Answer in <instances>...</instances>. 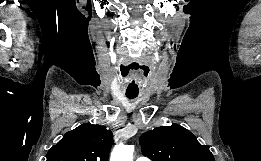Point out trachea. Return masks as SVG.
<instances>
[{"label": "trachea", "instance_id": "obj_1", "mask_svg": "<svg viewBox=\"0 0 261 161\" xmlns=\"http://www.w3.org/2000/svg\"><path fill=\"white\" fill-rule=\"evenodd\" d=\"M127 97H128L129 99H134V98H136L137 96H136V95H127Z\"/></svg>", "mask_w": 261, "mask_h": 161}]
</instances>
